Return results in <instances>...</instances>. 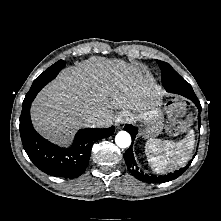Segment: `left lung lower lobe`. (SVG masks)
Segmentation results:
<instances>
[{"label": "left lung lower lobe", "mask_w": 221, "mask_h": 221, "mask_svg": "<svg viewBox=\"0 0 221 221\" xmlns=\"http://www.w3.org/2000/svg\"><path fill=\"white\" fill-rule=\"evenodd\" d=\"M163 86L165 87L167 92L179 94V95H182V96L188 98L189 100H191L197 106V108L199 110V114L201 113L202 108H201L200 102H199L198 98L196 97L191 85L188 82H186L184 79H180L179 81H176L175 83H173L171 85H163ZM198 120H199V129H200V123H201L200 122V115L198 116ZM125 130L131 134L132 140L134 141L136 134L138 133L137 128L128 124L125 126ZM124 159H125V162L129 168L131 174L135 178H137L143 182H148V183H162V182H168V181L176 179L189 167V165L191 164V162L193 160L192 159L184 168H181L180 170H178L174 173H170L168 175L157 177V176L147 175L142 172H139L138 167L135 162V159H134V156H133L132 145L124 153Z\"/></svg>", "instance_id": "0a47b994"}]
</instances>
